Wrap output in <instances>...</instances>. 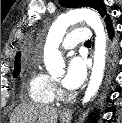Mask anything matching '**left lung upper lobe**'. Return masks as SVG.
Segmentation results:
<instances>
[{"label":"left lung upper lobe","instance_id":"left-lung-upper-lobe-1","mask_svg":"<svg viewBox=\"0 0 122 123\" xmlns=\"http://www.w3.org/2000/svg\"><path fill=\"white\" fill-rule=\"evenodd\" d=\"M64 7H91L99 11L102 17L106 16V7L102 0H59Z\"/></svg>","mask_w":122,"mask_h":123}]
</instances>
